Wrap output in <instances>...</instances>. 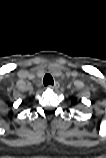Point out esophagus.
<instances>
[{
  "mask_svg": "<svg viewBox=\"0 0 106 158\" xmlns=\"http://www.w3.org/2000/svg\"><path fill=\"white\" fill-rule=\"evenodd\" d=\"M59 87V83L55 82L53 85H48L49 89L56 90Z\"/></svg>",
  "mask_w": 106,
  "mask_h": 158,
  "instance_id": "1",
  "label": "esophagus"
}]
</instances>
